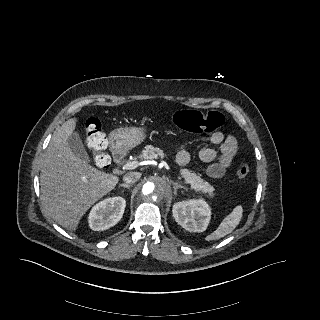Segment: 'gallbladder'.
Wrapping results in <instances>:
<instances>
[{"instance_id": "1", "label": "gallbladder", "mask_w": 320, "mask_h": 320, "mask_svg": "<svg viewBox=\"0 0 320 320\" xmlns=\"http://www.w3.org/2000/svg\"><path fill=\"white\" fill-rule=\"evenodd\" d=\"M67 144L71 151L80 159L85 161H90V158L88 156V153L79 137V135L75 132L72 133L68 139Z\"/></svg>"}]
</instances>
